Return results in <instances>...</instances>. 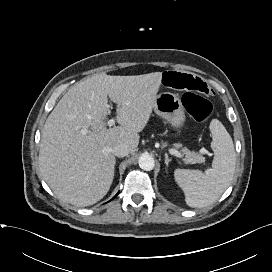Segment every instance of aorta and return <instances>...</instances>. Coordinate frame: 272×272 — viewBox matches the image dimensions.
Segmentation results:
<instances>
[{
  "label": "aorta",
  "instance_id": "1",
  "mask_svg": "<svg viewBox=\"0 0 272 272\" xmlns=\"http://www.w3.org/2000/svg\"><path fill=\"white\" fill-rule=\"evenodd\" d=\"M139 167L145 171H151L155 167V161L149 154H142L138 160Z\"/></svg>",
  "mask_w": 272,
  "mask_h": 272
}]
</instances>
